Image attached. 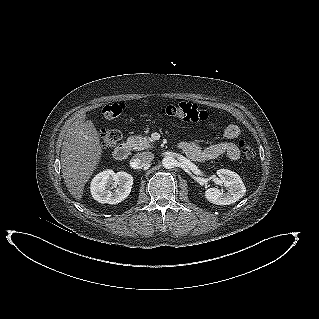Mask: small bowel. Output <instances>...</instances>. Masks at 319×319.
<instances>
[{"instance_id": "1", "label": "small bowel", "mask_w": 319, "mask_h": 319, "mask_svg": "<svg viewBox=\"0 0 319 319\" xmlns=\"http://www.w3.org/2000/svg\"><path fill=\"white\" fill-rule=\"evenodd\" d=\"M223 135L226 141L201 148L195 142H184L181 144L186 156L196 162L204 163L220 156H227L230 160L236 161L241 156L240 148L234 143L240 135V129L235 124L225 127Z\"/></svg>"}]
</instances>
